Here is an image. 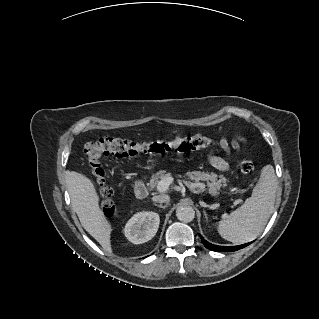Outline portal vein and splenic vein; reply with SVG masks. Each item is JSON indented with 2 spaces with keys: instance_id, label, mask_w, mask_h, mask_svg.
<instances>
[{
  "instance_id": "obj_1",
  "label": "portal vein and splenic vein",
  "mask_w": 319,
  "mask_h": 319,
  "mask_svg": "<svg viewBox=\"0 0 319 319\" xmlns=\"http://www.w3.org/2000/svg\"><path fill=\"white\" fill-rule=\"evenodd\" d=\"M172 182V176H166L157 183L156 190L158 192H165L169 188L170 184H172Z\"/></svg>"
}]
</instances>
